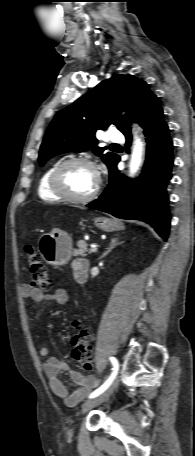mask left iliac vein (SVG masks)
Listing matches in <instances>:
<instances>
[{"mask_svg": "<svg viewBox=\"0 0 195 456\" xmlns=\"http://www.w3.org/2000/svg\"><path fill=\"white\" fill-rule=\"evenodd\" d=\"M117 385H118V377H115L113 382L110 384V386L104 392H102L100 395L86 401L82 405L81 413H86L89 410H91L92 408H94V407L100 405L101 403H103L104 401H106L110 397V395L113 393V391L115 390Z\"/></svg>", "mask_w": 195, "mask_h": 456, "instance_id": "obj_1", "label": "left iliac vein"}]
</instances>
